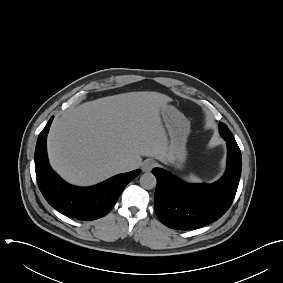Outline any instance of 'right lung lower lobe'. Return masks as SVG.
I'll return each instance as SVG.
<instances>
[{"label": "right lung lower lobe", "instance_id": "1", "mask_svg": "<svg viewBox=\"0 0 283 283\" xmlns=\"http://www.w3.org/2000/svg\"><path fill=\"white\" fill-rule=\"evenodd\" d=\"M52 120L53 117L39 134L35 149V170L40 191L52 207L70 218L95 220L103 217L140 170L116 175L92 187L80 188L67 184L48 163L46 138Z\"/></svg>", "mask_w": 283, "mask_h": 283}]
</instances>
